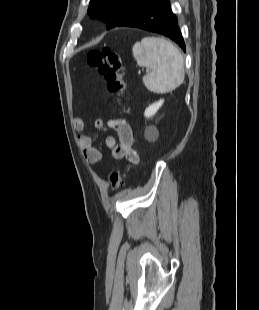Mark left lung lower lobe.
<instances>
[{
  "instance_id": "0a47b994",
  "label": "left lung lower lobe",
  "mask_w": 259,
  "mask_h": 310,
  "mask_svg": "<svg viewBox=\"0 0 259 310\" xmlns=\"http://www.w3.org/2000/svg\"><path fill=\"white\" fill-rule=\"evenodd\" d=\"M135 27L169 37L184 51L185 44L169 0H149L127 12L115 27Z\"/></svg>"
}]
</instances>
